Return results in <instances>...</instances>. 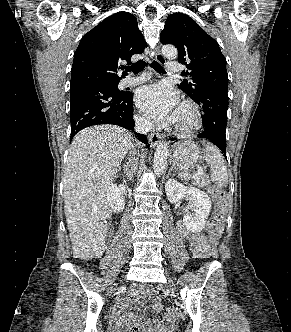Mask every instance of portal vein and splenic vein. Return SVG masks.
Instances as JSON below:
<instances>
[{"label": "portal vein and splenic vein", "instance_id": "1", "mask_svg": "<svg viewBox=\"0 0 291 332\" xmlns=\"http://www.w3.org/2000/svg\"><path fill=\"white\" fill-rule=\"evenodd\" d=\"M204 174V170L202 168H198L197 172L193 175V179L202 176Z\"/></svg>", "mask_w": 291, "mask_h": 332}]
</instances>
